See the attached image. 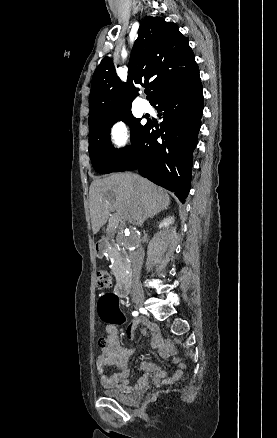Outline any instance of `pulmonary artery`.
<instances>
[{"label":"pulmonary artery","instance_id":"1","mask_svg":"<svg viewBox=\"0 0 277 438\" xmlns=\"http://www.w3.org/2000/svg\"><path fill=\"white\" fill-rule=\"evenodd\" d=\"M140 105H141V107H142L143 112H146V111H147V105H146V103L142 100V101H140Z\"/></svg>","mask_w":277,"mask_h":438}]
</instances>
